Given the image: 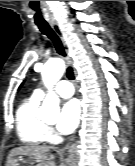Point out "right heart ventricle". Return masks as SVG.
Wrapping results in <instances>:
<instances>
[{
    "mask_svg": "<svg viewBox=\"0 0 135 166\" xmlns=\"http://www.w3.org/2000/svg\"><path fill=\"white\" fill-rule=\"evenodd\" d=\"M40 100L32 95L23 100L16 111L17 134L27 146H40L48 140V127L37 113Z\"/></svg>",
    "mask_w": 135,
    "mask_h": 166,
    "instance_id": "right-heart-ventricle-1",
    "label": "right heart ventricle"
}]
</instances>
